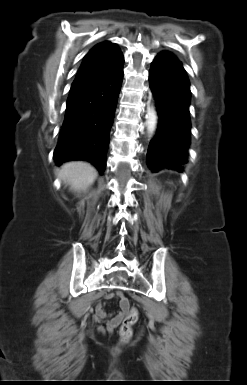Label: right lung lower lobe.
Listing matches in <instances>:
<instances>
[{"label": "right lung lower lobe", "instance_id": "1", "mask_svg": "<svg viewBox=\"0 0 247 385\" xmlns=\"http://www.w3.org/2000/svg\"><path fill=\"white\" fill-rule=\"evenodd\" d=\"M122 79L123 63L114 70L72 84L54 151L57 165L70 160H86L99 172H104L109 132Z\"/></svg>", "mask_w": 247, "mask_h": 385}]
</instances>
